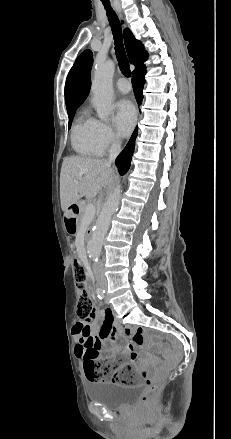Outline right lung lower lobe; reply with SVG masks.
Here are the masks:
<instances>
[{
    "label": "right lung lower lobe",
    "instance_id": "obj_1",
    "mask_svg": "<svg viewBox=\"0 0 231 439\" xmlns=\"http://www.w3.org/2000/svg\"><path fill=\"white\" fill-rule=\"evenodd\" d=\"M145 73H146L145 66L140 67L139 69H137L136 71H133V73H132V75H133L132 85H133V90H134L135 98L137 100L138 105H141L142 99H143L142 90H143V85L145 83V80H144ZM137 134H138V127L135 128L126 147L123 149V151L118 155V157L116 159L115 163H116V166L118 167V171L121 175H124L130 167L131 158H132V154L134 152V147H135V139L137 137Z\"/></svg>",
    "mask_w": 231,
    "mask_h": 439
}]
</instances>
